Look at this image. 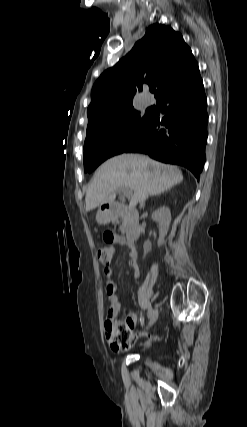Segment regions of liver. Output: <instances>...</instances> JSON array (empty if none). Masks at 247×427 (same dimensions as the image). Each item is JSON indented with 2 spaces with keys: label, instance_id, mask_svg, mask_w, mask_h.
<instances>
[{
  "label": "liver",
  "instance_id": "liver-1",
  "mask_svg": "<svg viewBox=\"0 0 247 427\" xmlns=\"http://www.w3.org/2000/svg\"><path fill=\"white\" fill-rule=\"evenodd\" d=\"M183 180L176 166L162 164L139 154H122L104 162L91 181L86 197V210L111 203L118 189L133 192L131 203L136 205L148 195L160 194Z\"/></svg>",
  "mask_w": 247,
  "mask_h": 427
}]
</instances>
